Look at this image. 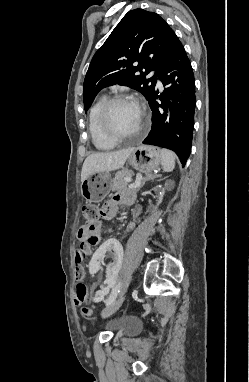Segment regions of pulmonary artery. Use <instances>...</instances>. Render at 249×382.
<instances>
[{"label":"pulmonary artery","mask_w":249,"mask_h":382,"mask_svg":"<svg viewBox=\"0 0 249 382\" xmlns=\"http://www.w3.org/2000/svg\"><path fill=\"white\" fill-rule=\"evenodd\" d=\"M150 75L153 76V75H154V72H151ZM157 83H158L159 86H161V82H160V80H157Z\"/></svg>","instance_id":"1"}]
</instances>
